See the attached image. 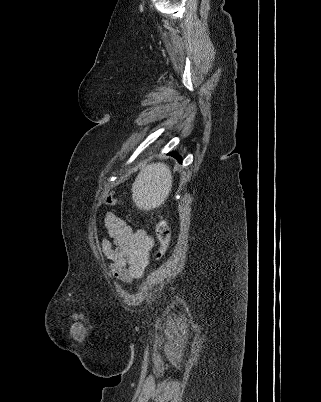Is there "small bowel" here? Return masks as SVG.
Returning a JSON list of instances; mask_svg holds the SVG:
<instances>
[{
	"instance_id": "c3829d8e",
	"label": "small bowel",
	"mask_w": 321,
	"mask_h": 402,
	"mask_svg": "<svg viewBox=\"0 0 321 402\" xmlns=\"http://www.w3.org/2000/svg\"><path fill=\"white\" fill-rule=\"evenodd\" d=\"M104 224L109 239L101 242L103 254L111 263L109 272L115 278L130 283L143 276L154 246L153 238L144 229L134 230L119 215L108 213ZM89 323L87 320H72L75 339H85Z\"/></svg>"
}]
</instances>
